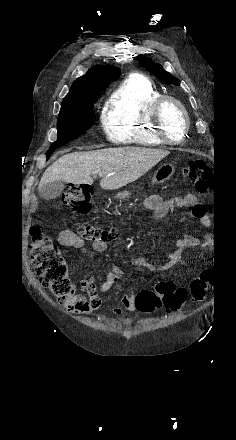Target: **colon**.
<instances>
[{"mask_svg": "<svg viewBox=\"0 0 236 440\" xmlns=\"http://www.w3.org/2000/svg\"><path fill=\"white\" fill-rule=\"evenodd\" d=\"M184 173L199 192H205L211 187L212 170L200 159H190L184 168ZM92 188L89 185L68 186L63 193V202L76 215L89 212L91 206ZM79 234L89 241H107L116 235L114 229H103L94 225H79ZM31 263L40 282L58 297L63 303L73 292L69 279L70 267L64 254L58 249L52 238L41 233L37 227L31 229ZM221 276H200L195 279L189 291L177 287L171 282H160L156 289L143 290L136 298L137 310L153 313L163 307L167 311H178L186 303L189 294L195 301H202L207 292V285H221Z\"/></svg>", "mask_w": 236, "mask_h": 440, "instance_id": "obj_1", "label": "colon"}]
</instances>
